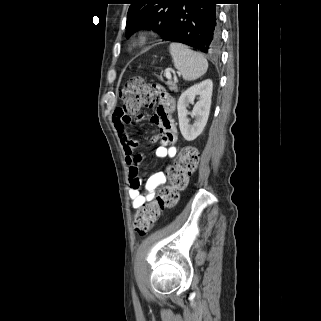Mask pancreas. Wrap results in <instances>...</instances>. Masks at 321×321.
I'll return each instance as SVG.
<instances>
[{"mask_svg":"<svg viewBox=\"0 0 321 321\" xmlns=\"http://www.w3.org/2000/svg\"><path fill=\"white\" fill-rule=\"evenodd\" d=\"M166 84L171 91L178 92V87L175 81H168Z\"/></svg>","mask_w":321,"mask_h":321,"instance_id":"obj_1","label":"pancreas"}]
</instances>
